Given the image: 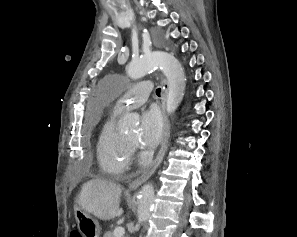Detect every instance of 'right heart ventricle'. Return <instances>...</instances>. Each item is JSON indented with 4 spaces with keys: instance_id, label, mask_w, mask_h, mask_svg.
Masks as SVG:
<instances>
[{
    "instance_id": "obj_1",
    "label": "right heart ventricle",
    "mask_w": 297,
    "mask_h": 237,
    "mask_svg": "<svg viewBox=\"0 0 297 237\" xmlns=\"http://www.w3.org/2000/svg\"><path fill=\"white\" fill-rule=\"evenodd\" d=\"M118 113L112 112L99 133L96 155L100 169L109 176L121 175L130 165L132 148L116 129Z\"/></svg>"
}]
</instances>
